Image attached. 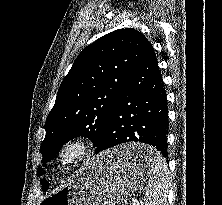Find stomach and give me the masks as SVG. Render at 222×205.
I'll return each mask as SVG.
<instances>
[{
    "label": "stomach",
    "instance_id": "obj_1",
    "mask_svg": "<svg viewBox=\"0 0 222 205\" xmlns=\"http://www.w3.org/2000/svg\"><path fill=\"white\" fill-rule=\"evenodd\" d=\"M152 156L151 146L133 143L90 158L66 186L44 195L39 205H115L130 196L147 180L149 165L136 164L137 153Z\"/></svg>",
    "mask_w": 222,
    "mask_h": 205
}]
</instances>
